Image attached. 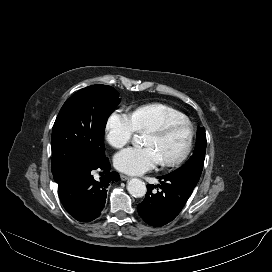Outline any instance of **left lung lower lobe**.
Segmentation results:
<instances>
[{
  "instance_id": "obj_1",
  "label": "left lung lower lobe",
  "mask_w": 272,
  "mask_h": 272,
  "mask_svg": "<svg viewBox=\"0 0 272 272\" xmlns=\"http://www.w3.org/2000/svg\"><path fill=\"white\" fill-rule=\"evenodd\" d=\"M157 186L147 185V194L137 207L141 218L152 226H163L172 221L182 210L197 182L171 174L157 177Z\"/></svg>"
}]
</instances>
